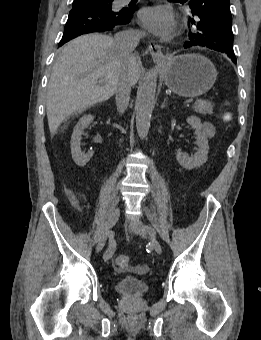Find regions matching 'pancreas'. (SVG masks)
Segmentation results:
<instances>
[{
  "mask_svg": "<svg viewBox=\"0 0 261 340\" xmlns=\"http://www.w3.org/2000/svg\"><path fill=\"white\" fill-rule=\"evenodd\" d=\"M214 104L206 100H198L195 102L193 108L195 112L206 115L213 113Z\"/></svg>",
  "mask_w": 261,
  "mask_h": 340,
  "instance_id": "cf45deb5",
  "label": "pancreas"
}]
</instances>
